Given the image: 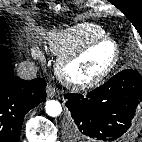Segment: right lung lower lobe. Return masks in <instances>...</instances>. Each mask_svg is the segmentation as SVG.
I'll return each instance as SVG.
<instances>
[{"mask_svg": "<svg viewBox=\"0 0 142 142\" xmlns=\"http://www.w3.org/2000/svg\"><path fill=\"white\" fill-rule=\"evenodd\" d=\"M10 51L0 49V142H19L25 114L46 98L42 78L14 76Z\"/></svg>", "mask_w": 142, "mask_h": 142, "instance_id": "obj_1", "label": "right lung lower lobe"}]
</instances>
